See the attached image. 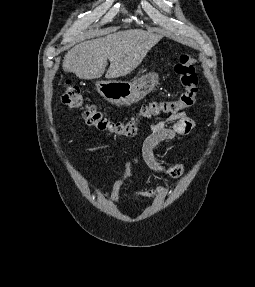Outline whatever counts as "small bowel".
I'll return each mask as SVG.
<instances>
[{"label":"small bowel","mask_w":255,"mask_h":287,"mask_svg":"<svg viewBox=\"0 0 255 287\" xmlns=\"http://www.w3.org/2000/svg\"><path fill=\"white\" fill-rule=\"evenodd\" d=\"M194 121L185 113H175L167 118L156 117L151 123V132L145 138L141 154L146 165L156 173L178 178L183 175L185 166L182 161L185 158H180L181 162L174 165H166L159 161L155 155V148L158 144L166 141H171L182 136L188 135L194 128ZM126 173H121L118 179L114 182L111 190L106 193L110 200L116 203L119 199V192L122 184L126 180ZM167 189L163 186L140 191L135 194L138 199H150L157 196H162Z\"/></svg>","instance_id":"c3829d8e"}]
</instances>
